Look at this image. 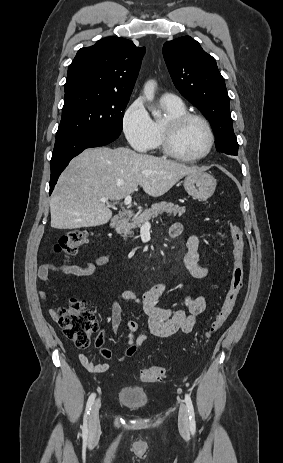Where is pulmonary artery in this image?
<instances>
[{
	"label": "pulmonary artery",
	"instance_id": "1",
	"mask_svg": "<svg viewBox=\"0 0 283 463\" xmlns=\"http://www.w3.org/2000/svg\"><path fill=\"white\" fill-rule=\"evenodd\" d=\"M161 99L164 100V101H170V102H175V101L179 100V99L177 98V96L174 95V94H172V93H165V94H163L162 97H161Z\"/></svg>",
	"mask_w": 283,
	"mask_h": 463
}]
</instances>
